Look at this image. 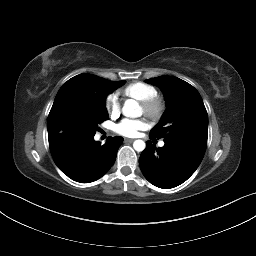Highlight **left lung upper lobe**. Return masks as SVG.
Listing matches in <instances>:
<instances>
[{
    "label": "left lung upper lobe",
    "instance_id": "1",
    "mask_svg": "<svg viewBox=\"0 0 256 256\" xmlns=\"http://www.w3.org/2000/svg\"><path fill=\"white\" fill-rule=\"evenodd\" d=\"M145 81L161 88L167 104L160 122L150 131V138H164L165 143L179 144L204 154L208 115L199 92L174 76Z\"/></svg>",
    "mask_w": 256,
    "mask_h": 256
}]
</instances>
